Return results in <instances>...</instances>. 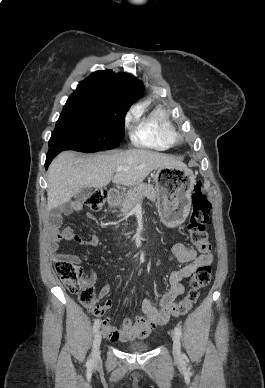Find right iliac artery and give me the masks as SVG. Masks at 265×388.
<instances>
[{"label": "right iliac artery", "instance_id": "82829eb1", "mask_svg": "<svg viewBox=\"0 0 265 388\" xmlns=\"http://www.w3.org/2000/svg\"><path fill=\"white\" fill-rule=\"evenodd\" d=\"M99 327H100V319H96V320H95V323H94V325H93V332L96 333V332L98 331ZM87 366H88V367H91V366H92V360H91V359H89V360L87 361Z\"/></svg>", "mask_w": 265, "mask_h": 388}]
</instances>
